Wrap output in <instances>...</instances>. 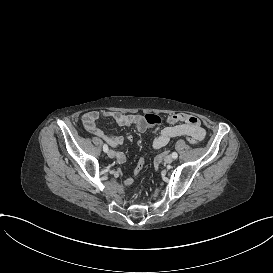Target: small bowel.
<instances>
[{
	"label": "small bowel",
	"instance_id": "obj_1",
	"mask_svg": "<svg viewBox=\"0 0 273 273\" xmlns=\"http://www.w3.org/2000/svg\"><path fill=\"white\" fill-rule=\"evenodd\" d=\"M100 118L113 120L119 126H133L137 131L144 133L151 127L145 122L144 116L138 113H122L118 111L88 112L83 115L82 123L85 129L95 137L104 141L115 150H119L126 142H132L131 135L127 137L112 136L98 126ZM168 125L161 129L159 134L153 140V148L160 150L164 148L172 139L176 137H186L192 144L202 141L206 136V131L202 127L200 120L192 115L178 113L167 118ZM167 157V153L161 152L155 157L153 173L158 175L161 168V160ZM119 163L126 161V155L118 151L116 155ZM126 188L133 186L132 176L128 175L124 181Z\"/></svg>",
	"mask_w": 273,
	"mask_h": 273
}]
</instances>
